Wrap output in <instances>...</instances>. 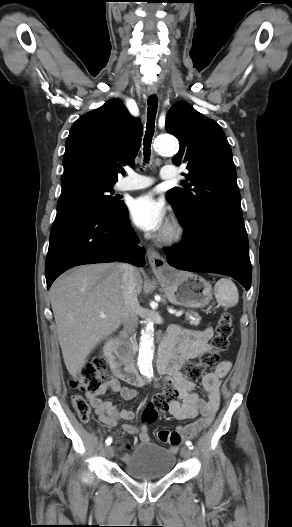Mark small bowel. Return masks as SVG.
Listing matches in <instances>:
<instances>
[{"label":"small bowel","mask_w":292,"mask_h":527,"mask_svg":"<svg viewBox=\"0 0 292 527\" xmlns=\"http://www.w3.org/2000/svg\"><path fill=\"white\" fill-rule=\"evenodd\" d=\"M212 336L210 328L204 330L183 329L177 326L169 328L164 342L171 352L169 367L164 380V387L173 391L174 397L169 400L167 411L177 420L193 419L199 414L201 419L187 425L178 426L176 431H162L158 438L167 443L175 451L184 438L192 437L198 431L207 427L213 420L220 403V386L231 368L229 361L220 362L212 372L205 374L201 385L207 393L203 400L195 391V384L185 378L181 372L184 363L196 359L210 350L209 340ZM123 378L114 373V376L105 381L96 392L86 393V398L95 409L99 420L109 428L116 427L119 420H132L135 413L131 410L120 409L110 400H102L101 395L108 390L117 392L125 401H130L137 396L135 389L122 386ZM122 431L127 434L138 435L143 443L149 442L150 437L146 425L135 426L123 424Z\"/></svg>","instance_id":"obj_1"}]
</instances>
